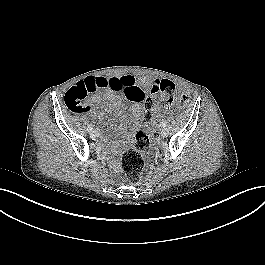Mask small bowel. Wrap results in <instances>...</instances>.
<instances>
[{"label":"small bowel","mask_w":265,"mask_h":265,"mask_svg":"<svg viewBox=\"0 0 265 265\" xmlns=\"http://www.w3.org/2000/svg\"><path fill=\"white\" fill-rule=\"evenodd\" d=\"M98 85V89H104L103 94L93 93L89 95L84 104V111H90L93 104H99L104 99H110L111 107H119L122 103L121 95L127 98L130 102H133L131 110L133 120L131 122V128L135 129L138 127L141 116L142 107L140 104H144L148 100L147 91L151 90L156 81H149L147 79H142L140 81L136 80L133 76H110V77H93L91 78ZM138 85L142 86L144 89L140 88ZM147 90V91H146Z\"/></svg>","instance_id":"obj_1"}]
</instances>
